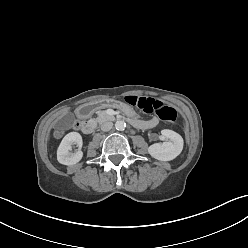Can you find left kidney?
Here are the masks:
<instances>
[{"mask_svg": "<svg viewBox=\"0 0 248 248\" xmlns=\"http://www.w3.org/2000/svg\"><path fill=\"white\" fill-rule=\"evenodd\" d=\"M161 134L169 141L150 145L148 152L153 158L160 161L173 160L183 150V138L178 133L169 129L162 130Z\"/></svg>", "mask_w": 248, "mask_h": 248, "instance_id": "5707ae66", "label": "left kidney"}]
</instances>
